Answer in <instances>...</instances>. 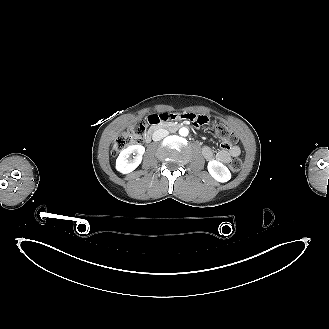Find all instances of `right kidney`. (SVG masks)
I'll list each match as a JSON object with an SVG mask.
<instances>
[{"label":"right kidney","mask_w":329,"mask_h":329,"mask_svg":"<svg viewBox=\"0 0 329 329\" xmlns=\"http://www.w3.org/2000/svg\"><path fill=\"white\" fill-rule=\"evenodd\" d=\"M145 147L142 145H131L122 150L116 160V169L122 174H128L135 170L142 161ZM133 154V159L130 155Z\"/></svg>","instance_id":"right-kidney-1"}]
</instances>
